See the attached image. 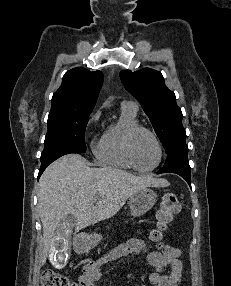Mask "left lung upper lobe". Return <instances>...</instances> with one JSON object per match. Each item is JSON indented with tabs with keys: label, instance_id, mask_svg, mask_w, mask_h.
Listing matches in <instances>:
<instances>
[{
	"label": "left lung upper lobe",
	"instance_id": "obj_1",
	"mask_svg": "<svg viewBox=\"0 0 231 286\" xmlns=\"http://www.w3.org/2000/svg\"><path fill=\"white\" fill-rule=\"evenodd\" d=\"M120 77L126 90L142 105L166 153L173 146L185 142L181 109L176 104L174 92L165 86L162 74L144 68L134 73L123 70Z\"/></svg>",
	"mask_w": 231,
	"mask_h": 286
}]
</instances>
